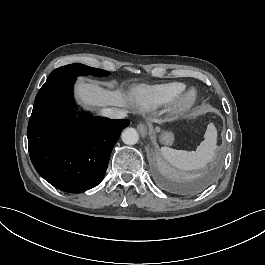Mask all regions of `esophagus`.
Returning a JSON list of instances; mask_svg holds the SVG:
<instances>
[{"instance_id": "obj_1", "label": "esophagus", "mask_w": 265, "mask_h": 265, "mask_svg": "<svg viewBox=\"0 0 265 265\" xmlns=\"http://www.w3.org/2000/svg\"><path fill=\"white\" fill-rule=\"evenodd\" d=\"M137 129H138V131L140 132V134H141L142 137L147 136V134H148V129H147V126H146L144 123H139V124L137 125Z\"/></svg>"}]
</instances>
